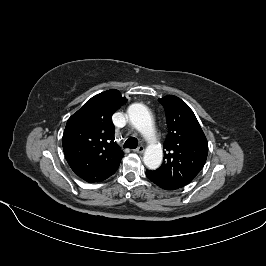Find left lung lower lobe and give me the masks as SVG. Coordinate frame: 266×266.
I'll list each match as a JSON object with an SVG mask.
<instances>
[{
  "label": "left lung lower lobe",
  "mask_w": 266,
  "mask_h": 266,
  "mask_svg": "<svg viewBox=\"0 0 266 266\" xmlns=\"http://www.w3.org/2000/svg\"><path fill=\"white\" fill-rule=\"evenodd\" d=\"M146 176L157 186L165 189V190H176L178 188L171 186L167 182L163 181L161 178H159L153 171L147 170Z\"/></svg>",
  "instance_id": "0a47b994"
}]
</instances>
